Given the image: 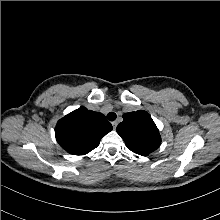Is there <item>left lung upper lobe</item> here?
Instances as JSON below:
<instances>
[{
  "mask_svg": "<svg viewBox=\"0 0 220 220\" xmlns=\"http://www.w3.org/2000/svg\"><path fill=\"white\" fill-rule=\"evenodd\" d=\"M123 121L117 126V133L132 152L146 156L155 151L161 143L157 126L144 110L123 114Z\"/></svg>",
  "mask_w": 220,
  "mask_h": 220,
  "instance_id": "5c2ea615",
  "label": "left lung upper lobe"
}]
</instances>
